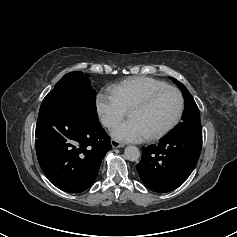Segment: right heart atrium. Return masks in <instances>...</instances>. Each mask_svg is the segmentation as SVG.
Instances as JSON below:
<instances>
[{
  "instance_id": "right-heart-atrium-1",
  "label": "right heart atrium",
  "mask_w": 237,
  "mask_h": 237,
  "mask_svg": "<svg viewBox=\"0 0 237 237\" xmlns=\"http://www.w3.org/2000/svg\"><path fill=\"white\" fill-rule=\"evenodd\" d=\"M96 109L101 123L106 128H113L127 113V109L111 88L103 90L97 95Z\"/></svg>"
}]
</instances>
